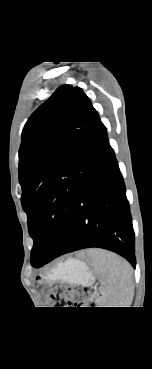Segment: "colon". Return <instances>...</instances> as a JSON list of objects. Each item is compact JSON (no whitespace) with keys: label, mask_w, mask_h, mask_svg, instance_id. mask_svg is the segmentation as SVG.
<instances>
[{"label":"colon","mask_w":152,"mask_h":369,"mask_svg":"<svg viewBox=\"0 0 152 369\" xmlns=\"http://www.w3.org/2000/svg\"><path fill=\"white\" fill-rule=\"evenodd\" d=\"M49 303L54 307L85 306L89 299L86 289L79 286L55 285L45 292Z\"/></svg>","instance_id":"5ec220e1"}]
</instances>
